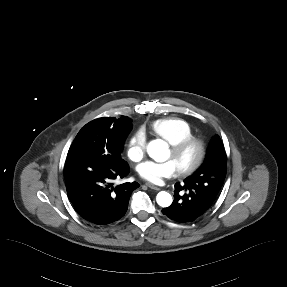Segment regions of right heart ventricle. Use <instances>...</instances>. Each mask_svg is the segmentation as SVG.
I'll use <instances>...</instances> for the list:
<instances>
[{
  "label": "right heart ventricle",
  "instance_id": "right-heart-ventricle-1",
  "mask_svg": "<svg viewBox=\"0 0 287 287\" xmlns=\"http://www.w3.org/2000/svg\"><path fill=\"white\" fill-rule=\"evenodd\" d=\"M150 131L170 146L193 136L190 123L179 117H165L150 123Z\"/></svg>",
  "mask_w": 287,
  "mask_h": 287
}]
</instances>
